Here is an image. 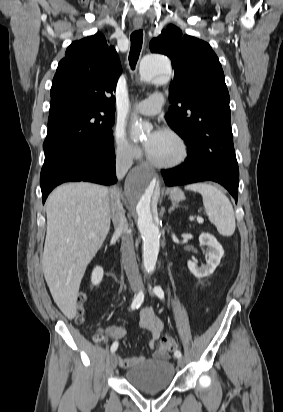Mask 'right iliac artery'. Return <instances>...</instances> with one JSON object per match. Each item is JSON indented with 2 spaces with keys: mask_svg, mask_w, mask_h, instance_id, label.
Returning <instances> with one entry per match:
<instances>
[{
  "mask_svg": "<svg viewBox=\"0 0 283 412\" xmlns=\"http://www.w3.org/2000/svg\"><path fill=\"white\" fill-rule=\"evenodd\" d=\"M143 301H144V293H143L142 291H140V292L134 297L133 302H132V304H131V309H132V310L138 309V308L141 306V304L143 303ZM117 348H118V342L116 341V342H114V343L112 344V346H111V352H112V353L115 352V351L117 350Z\"/></svg>",
  "mask_w": 283,
  "mask_h": 412,
  "instance_id": "obj_1",
  "label": "right iliac artery"
}]
</instances>
